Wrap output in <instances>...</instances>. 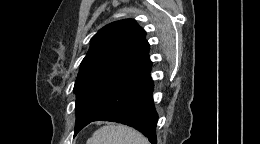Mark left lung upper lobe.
I'll return each instance as SVG.
<instances>
[{"label": "left lung upper lobe", "instance_id": "5c2ea615", "mask_svg": "<svg viewBox=\"0 0 260 144\" xmlns=\"http://www.w3.org/2000/svg\"><path fill=\"white\" fill-rule=\"evenodd\" d=\"M145 36L135 20L124 19L104 26L92 37L73 89L77 95L74 135L132 75L151 63Z\"/></svg>", "mask_w": 260, "mask_h": 144}]
</instances>
